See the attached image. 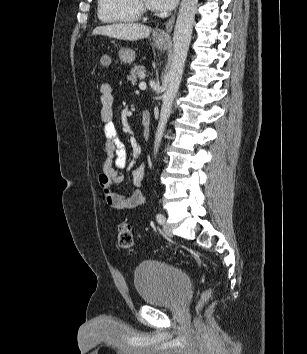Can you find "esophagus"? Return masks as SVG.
Returning a JSON list of instances; mask_svg holds the SVG:
<instances>
[{"instance_id": "obj_1", "label": "esophagus", "mask_w": 307, "mask_h": 354, "mask_svg": "<svg viewBox=\"0 0 307 354\" xmlns=\"http://www.w3.org/2000/svg\"><path fill=\"white\" fill-rule=\"evenodd\" d=\"M174 21H175V16L173 15V16H172L171 18H169V20L166 22L165 30L162 31V32H160V33H158L157 38H159V39H166V38H168L169 33H170L171 30H172Z\"/></svg>"}]
</instances>
